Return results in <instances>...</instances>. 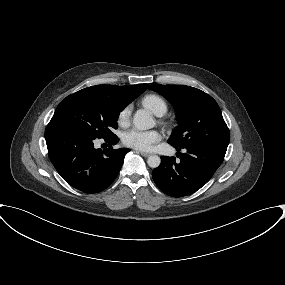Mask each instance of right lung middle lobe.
<instances>
[{"instance_id": "right-lung-middle-lobe-1", "label": "right lung middle lobe", "mask_w": 285, "mask_h": 285, "mask_svg": "<svg viewBox=\"0 0 285 285\" xmlns=\"http://www.w3.org/2000/svg\"><path fill=\"white\" fill-rule=\"evenodd\" d=\"M126 105L96 94L76 92L67 96L56 108L53 120L68 122L94 138L115 136L119 113Z\"/></svg>"}]
</instances>
